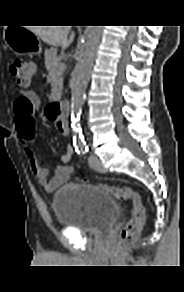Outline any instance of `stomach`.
<instances>
[{"label":"stomach","instance_id":"1","mask_svg":"<svg viewBox=\"0 0 184 292\" xmlns=\"http://www.w3.org/2000/svg\"><path fill=\"white\" fill-rule=\"evenodd\" d=\"M7 46L18 55H39L42 51L39 38L25 27L9 26L4 34Z\"/></svg>","mask_w":184,"mask_h":292}]
</instances>
